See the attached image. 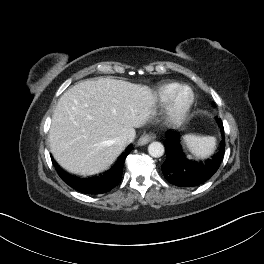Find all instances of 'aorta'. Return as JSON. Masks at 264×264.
Returning <instances> with one entry per match:
<instances>
[{
	"mask_svg": "<svg viewBox=\"0 0 264 264\" xmlns=\"http://www.w3.org/2000/svg\"><path fill=\"white\" fill-rule=\"evenodd\" d=\"M148 153L155 158L161 157L164 154V146L160 142H152L148 146Z\"/></svg>",
	"mask_w": 264,
	"mask_h": 264,
	"instance_id": "obj_1",
	"label": "aorta"
}]
</instances>
